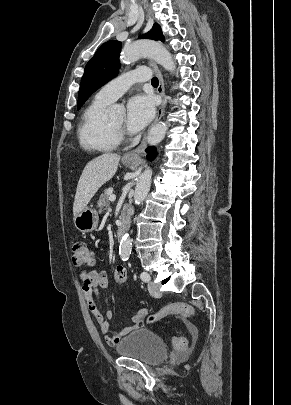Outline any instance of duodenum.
I'll list each match as a JSON object with an SVG mask.
<instances>
[{"label":"duodenum","instance_id":"1","mask_svg":"<svg viewBox=\"0 0 291 405\" xmlns=\"http://www.w3.org/2000/svg\"><path fill=\"white\" fill-rule=\"evenodd\" d=\"M125 225H126V212L123 213L121 224H120V226H119V228L117 230V238H118V240L121 238V236H122V234L124 232Z\"/></svg>","mask_w":291,"mask_h":405}]
</instances>
